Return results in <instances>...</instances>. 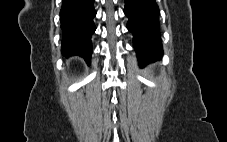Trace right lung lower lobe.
<instances>
[{
	"instance_id": "1",
	"label": "right lung lower lobe",
	"mask_w": 227,
	"mask_h": 142,
	"mask_svg": "<svg viewBox=\"0 0 227 142\" xmlns=\"http://www.w3.org/2000/svg\"><path fill=\"white\" fill-rule=\"evenodd\" d=\"M93 3L94 0H63L60 11L62 53L82 56L88 63L92 54L91 36L96 30Z\"/></svg>"
}]
</instances>
